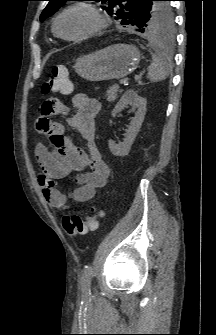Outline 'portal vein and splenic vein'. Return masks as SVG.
Listing matches in <instances>:
<instances>
[{
  "label": "portal vein and splenic vein",
  "instance_id": "obj_1",
  "mask_svg": "<svg viewBox=\"0 0 216 335\" xmlns=\"http://www.w3.org/2000/svg\"><path fill=\"white\" fill-rule=\"evenodd\" d=\"M119 83H120V85H123V84L127 83V79H121V80L119 81Z\"/></svg>",
  "mask_w": 216,
  "mask_h": 335
}]
</instances>
